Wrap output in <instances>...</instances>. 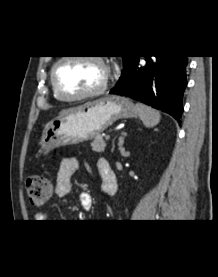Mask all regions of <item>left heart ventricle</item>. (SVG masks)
<instances>
[{
	"mask_svg": "<svg viewBox=\"0 0 218 277\" xmlns=\"http://www.w3.org/2000/svg\"><path fill=\"white\" fill-rule=\"evenodd\" d=\"M56 77L61 91L75 96L96 89L103 80L104 70L94 61L69 59L57 67Z\"/></svg>",
	"mask_w": 218,
	"mask_h": 277,
	"instance_id": "left-heart-ventricle-1",
	"label": "left heart ventricle"
}]
</instances>
